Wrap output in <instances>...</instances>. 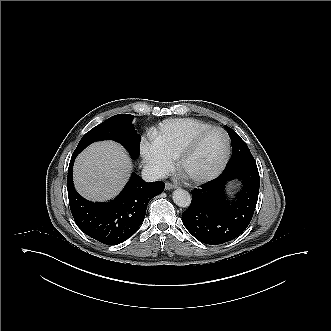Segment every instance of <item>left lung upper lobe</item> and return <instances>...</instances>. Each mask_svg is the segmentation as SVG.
I'll use <instances>...</instances> for the list:
<instances>
[{"instance_id":"1","label":"left lung upper lobe","mask_w":331,"mask_h":331,"mask_svg":"<svg viewBox=\"0 0 331 331\" xmlns=\"http://www.w3.org/2000/svg\"><path fill=\"white\" fill-rule=\"evenodd\" d=\"M226 129L232 143V157L226 169H234V168L257 169L256 162L246 143L234 130H232L228 126H226Z\"/></svg>"}]
</instances>
